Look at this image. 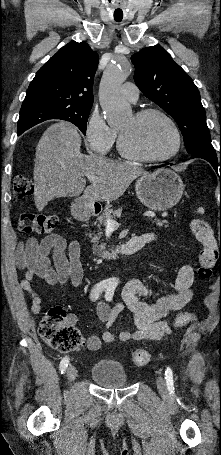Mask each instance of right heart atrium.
Listing matches in <instances>:
<instances>
[{"mask_svg": "<svg viewBox=\"0 0 221 455\" xmlns=\"http://www.w3.org/2000/svg\"><path fill=\"white\" fill-rule=\"evenodd\" d=\"M85 137L91 152L105 155L115 143L117 133L99 113L92 112L86 122Z\"/></svg>", "mask_w": 221, "mask_h": 455, "instance_id": "d8ad5b80", "label": "right heart atrium"}]
</instances>
